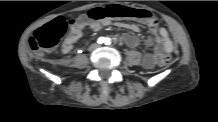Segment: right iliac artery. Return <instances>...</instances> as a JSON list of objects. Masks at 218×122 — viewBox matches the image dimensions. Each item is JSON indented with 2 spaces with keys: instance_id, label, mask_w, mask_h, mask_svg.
Here are the masks:
<instances>
[{
  "instance_id": "obj_1",
  "label": "right iliac artery",
  "mask_w": 218,
  "mask_h": 122,
  "mask_svg": "<svg viewBox=\"0 0 218 122\" xmlns=\"http://www.w3.org/2000/svg\"><path fill=\"white\" fill-rule=\"evenodd\" d=\"M97 42H98L99 44H102V43L105 42V38H104V37H100V38H98Z\"/></svg>"
}]
</instances>
